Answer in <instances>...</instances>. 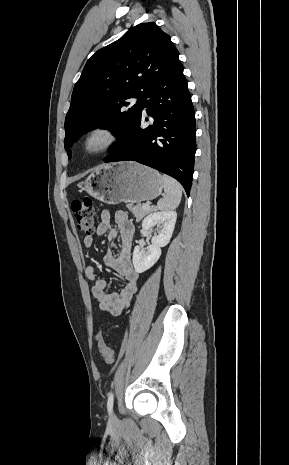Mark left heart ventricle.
I'll list each match as a JSON object with an SVG mask.
<instances>
[{"instance_id": "1", "label": "left heart ventricle", "mask_w": 289, "mask_h": 465, "mask_svg": "<svg viewBox=\"0 0 289 465\" xmlns=\"http://www.w3.org/2000/svg\"><path fill=\"white\" fill-rule=\"evenodd\" d=\"M98 142H99V139H94V140L92 141V145H96Z\"/></svg>"}]
</instances>
